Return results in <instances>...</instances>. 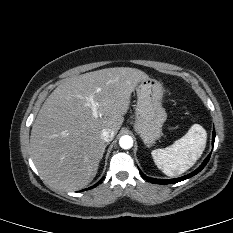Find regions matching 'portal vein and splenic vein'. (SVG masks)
<instances>
[{"label": "portal vein and splenic vein", "mask_w": 233, "mask_h": 233, "mask_svg": "<svg viewBox=\"0 0 233 233\" xmlns=\"http://www.w3.org/2000/svg\"><path fill=\"white\" fill-rule=\"evenodd\" d=\"M86 102H87V106H89L92 109V115L94 118H98V116L100 115L99 113V105L97 102H95L93 96H89L85 98Z\"/></svg>", "instance_id": "18ae733b"}]
</instances>
